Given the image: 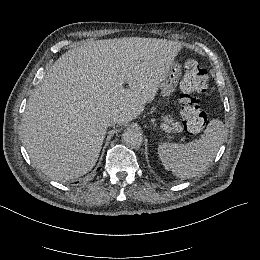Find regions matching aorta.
<instances>
[{
	"instance_id": "1",
	"label": "aorta",
	"mask_w": 260,
	"mask_h": 260,
	"mask_svg": "<svg viewBox=\"0 0 260 260\" xmlns=\"http://www.w3.org/2000/svg\"><path fill=\"white\" fill-rule=\"evenodd\" d=\"M122 141L129 147L137 148L142 145L143 136L140 131L130 128L122 134Z\"/></svg>"
}]
</instances>
